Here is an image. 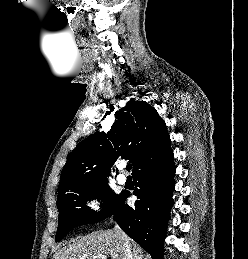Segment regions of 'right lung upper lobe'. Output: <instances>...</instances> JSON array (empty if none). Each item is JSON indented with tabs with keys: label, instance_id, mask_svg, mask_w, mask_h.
<instances>
[{
	"label": "right lung upper lobe",
	"instance_id": "cb5924a9",
	"mask_svg": "<svg viewBox=\"0 0 248 259\" xmlns=\"http://www.w3.org/2000/svg\"><path fill=\"white\" fill-rule=\"evenodd\" d=\"M110 131L84 139L71 152L62 171L58 197L82 186L106 182L118 158H129L132 174L172 152L164 120L145 101H129L116 112Z\"/></svg>",
	"mask_w": 248,
	"mask_h": 259
}]
</instances>
